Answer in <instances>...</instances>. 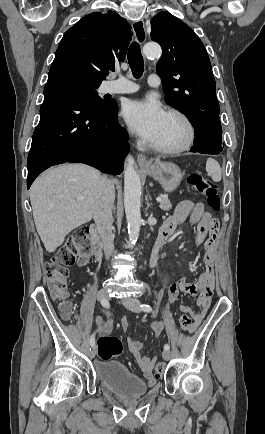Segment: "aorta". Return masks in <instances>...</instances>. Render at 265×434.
I'll use <instances>...</instances> for the list:
<instances>
[{
	"instance_id": "obj_1",
	"label": "aorta",
	"mask_w": 265,
	"mask_h": 434,
	"mask_svg": "<svg viewBox=\"0 0 265 434\" xmlns=\"http://www.w3.org/2000/svg\"><path fill=\"white\" fill-rule=\"evenodd\" d=\"M144 56H158L161 48L157 44H145ZM141 182L139 174L134 170V160L128 156L127 164L124 166V208L129 234V248L136 244L139 238L140 226L142 224L140 214Z\"/></svg>"
}]
</instances>
